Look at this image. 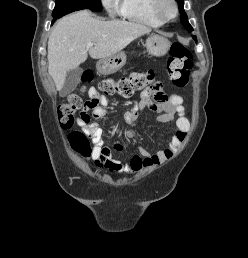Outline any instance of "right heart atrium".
<instances>
[{
	"label": "right heart atrium",
	"mask_w": 248,
	"mask_h": 258,
	"mask_svg": "<svg viewBox=\"0 0 248 258\" xmlns=\"http://www.w3.org/2000/svg\"><path fill=\"white\" fill-rule=\"evenodd\" d=\"M102 5L110 15L121 13L122 0H101Z\"/></svg>",
	"instance_id": "obj_1"
}]
</instances>
